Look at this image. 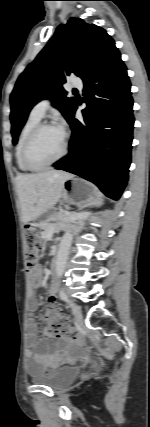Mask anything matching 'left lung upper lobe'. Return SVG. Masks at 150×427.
I'll use <instances>...</instances> for the list:
<instances>
[{
	"label": "left lung upper lobe",
	"instance_id": "left-lung-upper-lobe-1",
	"mask_svg": "<svg viewBox=\"0 0 150 427\" xmlns=\"http://www.w3.org/2000/svg\"><path fill=\"white\" fill-rule=\"evenodd\" d=\"M107 32L80 18L61 24L45 48L19 76L10 97L13 143L16 144L32 107L49 98L53 106L69 119L76 102L63 89L66 77L74 73L82 80L89 77L114 49Z\"/></svg>",
	"mask_w": 150,
	"mask_h": 427
}]
</instances>
